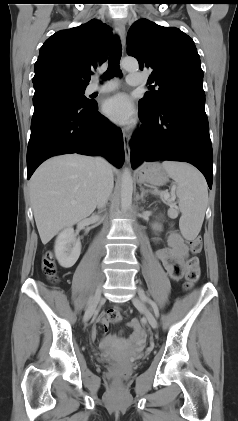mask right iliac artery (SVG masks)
<instances>
[{
  "label": "right iliac artery",
  "instance_id": "82829eb1",
  "mask_svg": "<svg viewBox=\"0 0 238 421\" xmlns=\"http://www.w3.org/2000/svg\"><path fill=\"white\" fill-rule=\"evenodd\" d=\"M92 300H93V298L91 297V298L89 299V301H88V305H90V304H91Z\"/></svg>",
  "mask_w": 238,
  "mask_h": 421
}]
</instances>
